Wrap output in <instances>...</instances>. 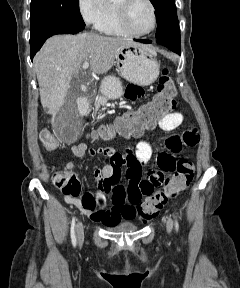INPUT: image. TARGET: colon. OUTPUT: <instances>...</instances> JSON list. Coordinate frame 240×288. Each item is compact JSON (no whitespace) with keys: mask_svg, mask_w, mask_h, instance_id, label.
I'll list each match as a JSON object with an SVG mask.
<instances>
[{"mask_svg":"<svg viewBox=\"0 0 240 288\" xmlns=\"http://www.w3.org/2000/svg\"><path fill=\"white\" fill-rule=\"evenodd\" d=\"M176 106V88L168 69H164L158 80L152 99L138 109L125 113L117 121V131L128 134L138 130L152 128ZM41 141L47 151H54L58 142L55 136L45 131ZM175 173L165 180L162 190L142 199L135 191L128 196L129 203L135 208L136 216L146 222L156 217L168 200L184 191L194 176V165L188 157H181L175 165ZM53 184L67 196L77 197L81 192L79 179L66 171H55Z\"/></svg>","mask_w":240,"mask_h":288,"instance_id":"5ec220e1","label":"colon"}]
</instances>
